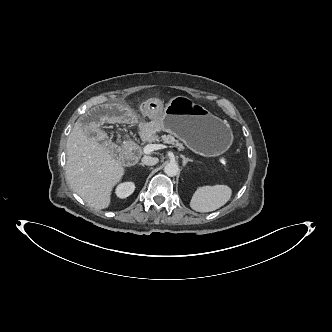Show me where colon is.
I'll use <instances>...</instances> for the list:
<instances>
[{
  "label": "colon",
  "instance_id": "5ec220e1",
  "mask_svg": "<svg viewBox=\"0 0 332 332\" xmlns=\"http://www.w3.org/2000/svg\"><path fill=\"white\" fill-rule=\"evenodd\" d=\"M104 146H105V148H107L108 150H114V147H113L111 144H109V143H106Z\"/></svg>",
  "mask_w": 332,
  "mask_h": 332
}]
</instances>
